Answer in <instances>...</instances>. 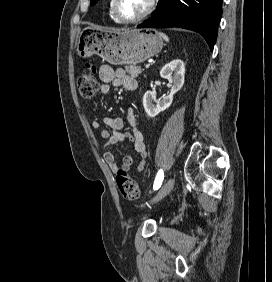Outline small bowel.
<instances>
[{
  "label": "small bowel",
  "mask_w": 272,
  "mask_h": 282,
  "mask_svg": "<svg viewBox=\"0 0 272 282\" xmlns=\"http://www.w3.org/2000/svg\"><path fill=\"white\" fill-rule=\"evenodd\" d=\"M99 76L102 81V93H107L111 84L114 86H123L128 91H136L138 88L137 80L127 76L122 68L114 69L111 66L103 65L100 67ZM103 123L110 128V131H101V137L104 140V148L129 139L133 143L135 151L139 154L140 161L137 165V171L142 173L145 169L147 149L144 135L135 125V113L133 109H128L125 117H104ZM126 124L132 126L131 131H123ZM92 127L95 130H99L101 123L95 120L92 122ZM104 159L113 171H117L118 169L126 171L133 166V159L130 156H125L122 160V164L118 165L111 151L104 152Z\"/></svg>",
  "instance_id": "obj_1"
}]
</instances>
